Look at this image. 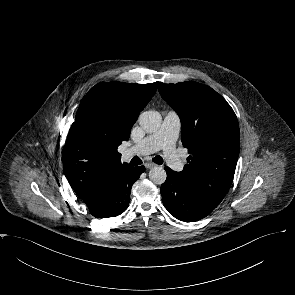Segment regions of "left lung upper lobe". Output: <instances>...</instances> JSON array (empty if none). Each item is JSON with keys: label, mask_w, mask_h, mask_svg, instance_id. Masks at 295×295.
<instances>
[{"label": "left lung upper lobe", "mask_w": 295, "mask_h": 295, "mask_svg": "<svg viewBox=\"0 0 295 295\" xmlns=\"http://www.w3.org/2000/svg\"><path fill=\"white\" fill-rule=\"evenodd\" d=\"M159 92L178 113L181 141L190 153L178 174L198 197L216 208L232 184L239 156L237 117L220 94L194 81L160 83Z\"/></svg>", "instance_id": "1"}]
</instances>
